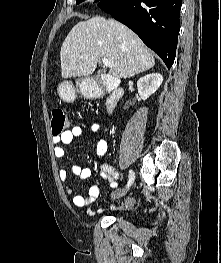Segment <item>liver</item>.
Wrapping results in <instances>:
<instances>
[{
    "mask_svg": "<svg viewBox=\"0 0 221 263\" xmlns=\"http://www.w3.org/2000/svg\"><path fill=\"white\" fill-rule=\"evenodd\" d=\"M113 61L109 74L130 78L155 65L153 55L128 27L100 16L78 22L65 38L61 51V75L67 79L91 75L101 58Z\"/></svg>",
    "mask_w": 221,
    "mask_h": 263,
    "instance_id": "6515ba94",
    "label": "liver"
}]
</instances>
